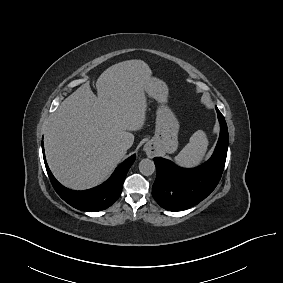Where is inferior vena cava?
<instances>
[{
    "label": "inferior vena cava",
    "mask_w": 283,
    "mask_h": 283,
    "mask_svg": "<svg viewBox=\"0 0 283 283\" xmlns=\"http://www.w3.org/2000/svg\"><path fill=\"white\" fill-rule=\"evenodd\" d=\"M122 147H123L124 149H128V148L130 147V143H129L128 141H123Z\"/></svg>",
    "instance_id": "602c4592"
}]
</instances>
